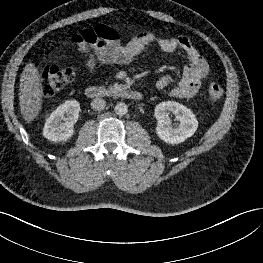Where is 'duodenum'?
I'll list each match as a JSON object with an SVG mask.
<instances>
[{"label": "duodenum", "instance_id": "obj_1", "mask_svg": "<svg viewBox=\"0 0 263 263\" xmlns=\"http://www.w3.org/2000/svg\"><path fill=\"white\" fill-rule=\"evenodd\" d=\"M85 95L90 99L103 97H122L130 100H141L142 93L130 87H120L115 89H107L102 86H88L85 89Z\"/></svg>", "mask_w": 263, "mask_h": 263}]
</instances>
